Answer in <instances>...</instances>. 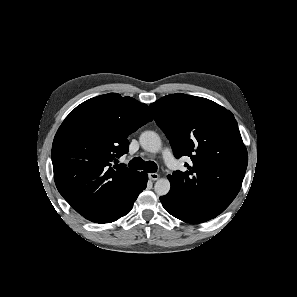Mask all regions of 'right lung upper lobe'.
<instances>
[{"mask_svg": "<svg viewBox=\"0 0 297 297\" xmlns=\"http://www.w3.org/2000/svg\"><path fill=\"white\" fill-rule=\"evenodd\" d=\"M146 104L117 93L77 106L52 145L56 187L84 218L98 220L139 173L117 164L128 152V135L152 121Z\"/></svg>", "mask_w": 297, "mask_h": 297, "instance_id": "right-lung-upper-lobe-1", "label": "right lung upper lobe"}]
</instances>
